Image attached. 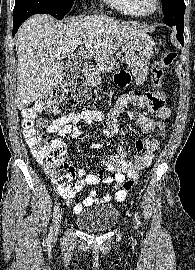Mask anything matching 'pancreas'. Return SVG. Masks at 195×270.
Here are the masks:
<instances>
[{
	"label": "pancreas",
	"mask_w": 195,
	"mask_h": 270,
	"mask_svg": "<svg viewBox=\"0 0 195 270\" xmlns=\"http://www.w3.org/2000/svg\"><path fill=\"white\" fill-rule=\"evenodd\" d=\"M96 62H97L96 66L97 73L109 71L118 65L113 57H101L97 59Z\"/></svg>",
	"instance_id": "1"
}]
</instances>
